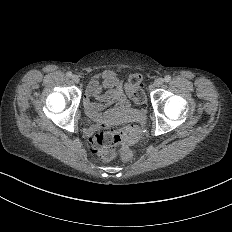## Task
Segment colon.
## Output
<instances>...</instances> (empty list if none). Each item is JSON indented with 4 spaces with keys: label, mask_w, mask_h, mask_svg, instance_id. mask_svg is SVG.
Instances as JSON below:
<instances>
[{
    "label": "colon",
    "mask_w": 232,
    "mask_h": 232,
    "mask_svg": "<svg viewBox=\"0 0 232 232\" xmlns=\"http://www.w3.org/2000/svg\"><path fill=\"white\" fill-rule=\"evenodd\" d=\"M143 72L135 71L130 79H124L127 95H131V99L135 103H140L144 97L143 89ZM142 135V130L137 125L130 126L127 130L104 129L98 131L92 140V147L96 151V157L101 162L112 161L116 158L117 152L122 150L124 146L132 145Z\"/></svg>",
    "instance_id": "1"
}]
</instances>
